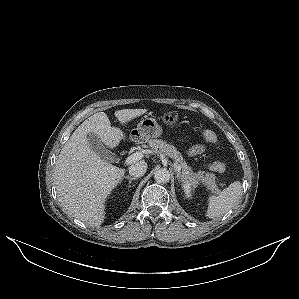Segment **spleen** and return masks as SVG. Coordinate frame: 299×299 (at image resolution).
I'll use <instances>...</instances> for the list:
<instances>
[{
  "instance_id": "spleen-1",
  "label": "spleen",
  "mask_w": 299,
  "mask_h": 299,
  "mask_svg": "<svg viewBox=\"0 0 299 299\" xmlns=\"http://www.w3.org/2000/svg\"><path fill=\"white\" fill-rule=\"evenodd\" d=\"M241 190V182L235 181L218 195L209 196L206 217L217 218L229 211L238 201Z\"/></svg>"
}]
</instances>
